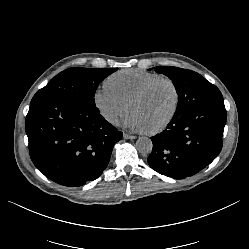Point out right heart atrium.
Instances as JSON below:
<instances>
[{
  "label": "right heart atrium",
  "mask_w": 249,
  "mask_h": 249,
  "mask_svg": "<svg viewBox=\"0 0 249 249\" xmlns=\"http://www.w3.org/2000/svg\"><path fill=\"white\" fill-rule=\"evenodd\" d=\"M93 103L100 116L110 124H114L127 107V102L106 86L94 92Z\"/></svg>",
  "instance_id": "d8ad5b80"
}]
</instances>
